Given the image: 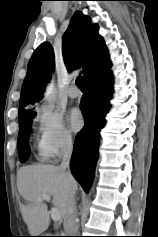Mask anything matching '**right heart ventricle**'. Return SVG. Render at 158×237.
<instances>
[{
	"mask_svg": "<svg viewBox=\"0 0 158 237\" xmlns=\"http://www.w3.org/2000/svg\"><path fill=\"white\" fill-rule=\"evenodd\" d=\"M39 158L42 160L46 158V156L41 152L40 148H39Z\"/></svg>",
	"mask_w": 158,
	"mask_h": 237,
	"instance_id": "e07e8e85",
	"label": "right heart ventricle"
}]
</instances>
